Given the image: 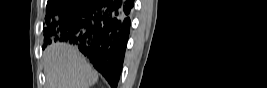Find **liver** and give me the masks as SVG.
I'll list each match as a JSON object with an SVG mask.
<instances>
[{
  "label": "liver",
  "mask_w": 267,
  "mask_h": 88,
  "mask_svg": "<svg viewBox=\"0 0 267 88\" xmlns=\"http://www.w3.org/2000/svg\"><path fill=\"white\" fill-rule=\"evenodd\" d=\"M47 88H90L98 75L79 50L66 43H54L43 53Z\"/></svg>",
  "instance_id": "1"
}]
</instances>
